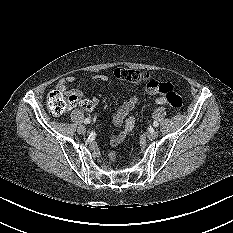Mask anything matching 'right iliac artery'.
I'll return each mask as SVG.
<instances>
[{
  "label": "right iliac artery",
  "mask_w": 233,
  "mask_h": 233,
  "mask_svg": "<svg viewBox=\"0 0 233 233\" xmlns=\"http://www.w3.org/2000/svg\"><path fill=\"white\" fill-rule=\"evenodd\" d=\"M91 122V120L89 119V118H86L85 120H84V123L85 124H89Z\"/></svg>",
  "instance_id": "1"
}]
</instances>
